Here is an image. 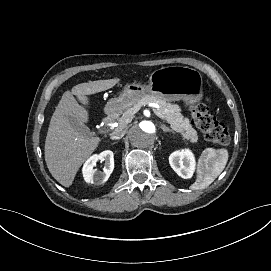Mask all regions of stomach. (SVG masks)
<instances>
[{"mask_svg":"<svg viewBox=\"0 0 271 271\" xmlns=\"http://www.w3.org/2000/svg\"><path fill=\"white\" fill-rule=\"evenodd\" d=\"M146 96L170 102L183 101L184 107L191 108L204 99L202 75L198 70L187 66L161 67L150 74L148 83H127L123 92L106 104L105 112L122 113Z\"/></svg>","mask_w":271,"mask_h":271,"instance_id":"0dacf381","label":"stomach"}]
</instances>
